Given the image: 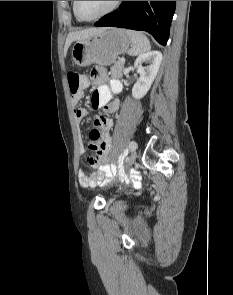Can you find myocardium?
<instances>
[{
  "mask_svg": "<svg viewBox=\"0 0 233 295\" xmlns=\"http://www.w3.org/2000/svg\"><path fill=\"white\" fill-rule=\"evenodd\" d=\"M121 3H122V1H114L113 4L107 10H105L104 12L100 13L99 15L91 17V18H85V17L81 16V14L79 13V10H78V1H74L73 10H74V14L78 20L90 22V21H95L97 19H100V18L114 12L120 6Z\"/></svg>",
  "mask_w": 233,
  "mask_h": 295,
  "instance_id": "obj_1",
  "label": "myocardium"
}]
</instances>
